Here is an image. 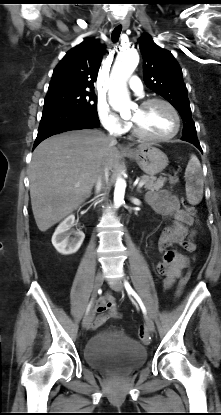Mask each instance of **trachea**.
<instances>
[{"instance_id":"3493384b","label":"trachea","mask_w":221,"mask_h":415,"mask_svg":"<svg viewBox=\"0 0 221 415\" xmlns=\"http://www.w3.org/2000/svg\"><path fill=\"white\" fill-rule=\"evenodd\" d=\"M121 30H122V26L121 25L117 26L113 30L112 35H111L113 42H117L118 41L119 36L121 34Z\"/></svg>"}]
</instances>
